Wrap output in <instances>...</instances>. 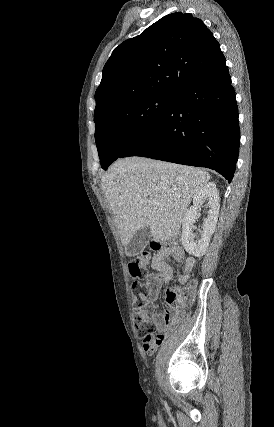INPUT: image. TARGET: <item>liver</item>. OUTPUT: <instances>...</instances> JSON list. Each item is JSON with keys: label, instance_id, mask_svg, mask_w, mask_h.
<instances>
[{"label": "liver", "instance_id": "obj_1", "mask_svg": "<svg viewBox=\"0 0 274 427\" xmlns=\"http://www.w3.org/2000/svg\"><path fill=\"white\" fill-rule=\"evenodd\" d=\"M209 180L208 172L192 166L148 158L114 162L101 182L122 245L143 227L155 241L175 237L194 194Z\"/></svg>", "mask_w": 274, "mask_h": 427}]
</instances>
